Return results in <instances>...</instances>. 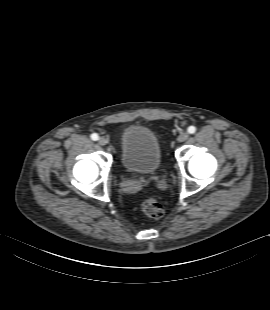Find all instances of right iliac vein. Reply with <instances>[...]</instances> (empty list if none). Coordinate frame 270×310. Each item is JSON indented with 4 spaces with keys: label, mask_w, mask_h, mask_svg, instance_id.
<instances>
[{
    "label": "right iliac vein",
    "mask_w": 270,
    "mask_h": 310,
    "mask_svg": "<svg viewBox=\"0 0 270 310\" xmlns=\"http://www.w3.org/2000/svg\"><path fill=\"white\" fill-rule=\"evenodd\" d=\"M98 143L101 146H105L107 144V140L104 137H101L99 138Z\"/></svg>",
    "instance_id": "63e3f726"
}]
</instances>
